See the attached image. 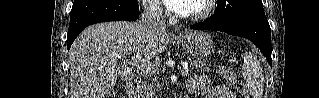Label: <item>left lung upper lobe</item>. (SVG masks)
<instances>
[{
    "label": "left lung upper lobe",
    "mask_w": 319,
    "mask_h": 98,
    "mask_svg": "<svg viewBox=\"0 0 319 98\" xmlns=\"http://www.w3.org/2000/svg\"><path fill=\"white\" fill-rule=\"evenodd\" d=\"M259 8L263 9L261 0H218L214 14L204 22L209 24L225 22Z\"/></svg>",
    "instance_id": "obj_1"
}]
</instances>
